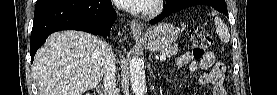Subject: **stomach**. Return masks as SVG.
Wrapping results in <instances>:
<instances>
[{
  "instance_id": "obj_1",
  "label": "stomach",
  "mask_w": 277,
  "mask_h": 95,
  "mask_svg": "<svg viewBox=\"0 0 277 95\" xmlns=\"http://www.w3.org/2000/svg\"><path fill=\"white\" fill-rule=\"evenodd\" d=\"M179 29L169 23H160L145 33L143 44L152 52L161 51L171 46L179 36Z\"/></svg>"
}]
</instances>
